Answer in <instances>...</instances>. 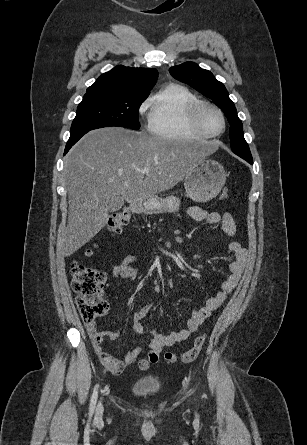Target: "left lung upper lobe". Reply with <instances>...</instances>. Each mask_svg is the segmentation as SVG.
Here are the masks:
<instances>
[{
    "label": "left lung upper lobe",
    "instance_id": "left-lung-upper-lobe-1",
    "mask_svg": "<svg viewBox=\"0 0 307 445\" xmlns=\"http://www.w3.org/2000/svg\"><path fill=\"white\" fill-rule=\"evenodd\" d=\"M170 74L181 82H184L213 102L222 109L230 123V140L232 151L237 155L252 157L248 144L244 139L242 122L237 116L234 103L220 81L214 75L201 69L193 62H186L169 69Z\"/></svg>",
    "mask_w": 307,
    "mask_h": 445
}]
</instances>
